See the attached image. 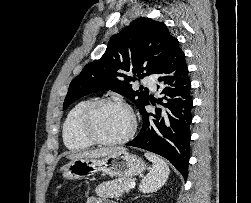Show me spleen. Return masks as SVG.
I'll list each match as a JSON object with an SVG mask.
<instances>
[{"label":"spleen","instance_id":"3e777b00","mask_svg":"<svg viewBox=\"0 0 251 203\" xmlns=\"http://www.w3.org/2000/svg\"><path fill=\"white\" fill-rule=\"evenodd\" d=\"M145 157L152 162V168L139 185V190L143 193H152L159 190L167 181L170 169L167 163L153 153H145Z\"/></svg>","mask_w":251,"mask_h":203}]
</instances>
